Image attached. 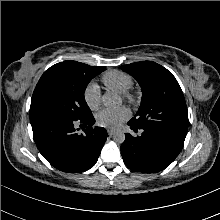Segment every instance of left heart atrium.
<instances>
[{
    "instance_id": "left-heart-atrium-1",
    "label": "left heart atrium",
    "mask_w": 220,
    "mask_h": 220,
    "mask_svg": "<svg viewBox=\"0 0 220 220\" xmlns=\"http://www.w3.org/2000/svg\"><path fill=\"white\" fill-rule=\"evenodd\" d=\"M130 116V112L126 107L115 109H103L96 115V123L106 128H117Z\"/></svg>"
}]
</instances>
